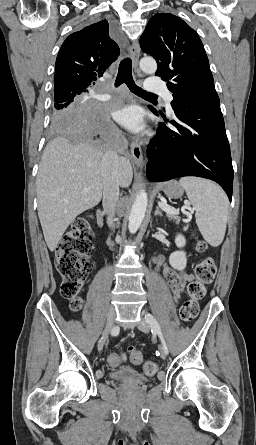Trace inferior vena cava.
I'll return each instance as SVG.
<instances>
[{
	"label": "inferior vena cava",
	"instance_id": "obj_1",
	"mask_svg": "<svg viewBox=\"0 0 256 445\" xmlns=\"http://www.w3.org/2000/svg\"><path fill=\"white\" fill-rule=\"evenodd\" d=\"M103 207L107 212V223L113 225V217L119 200V157L113 150L107 151L102 159Z\"/></svg>",
	"mask_w": 256,
	"mask_h": 445
}]
</instances>
